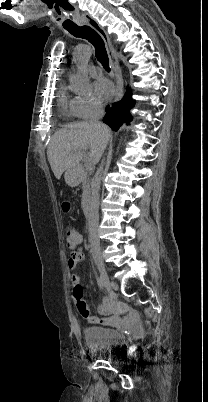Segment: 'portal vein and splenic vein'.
Returning a JSON list of instances; mask_svg holds the SVG:
<instances>
[{"label":"portal vein and splenic vein","instance_id":"portal-vein-and-splenic-vein-1","mask_svg":"<svg viewBox=\"0 0 208 402\" xmlns=\"http://www.w3.org/2000/svg\"><path fill=\"white\" fill-rule=\"evenodd\" d=\"M79 160H82V156H78ZM84 160V166L85 168H87V170H91L94 162L92 160V158H88L87 156L83 157Z\"/></svg>","mask_w":208,"mask_h":402}]
</instances>
